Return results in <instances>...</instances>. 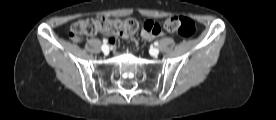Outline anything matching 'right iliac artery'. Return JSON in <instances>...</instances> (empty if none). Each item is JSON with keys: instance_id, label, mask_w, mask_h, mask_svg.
Wrapping results in <instances>:
<instances>
[{"instance_id": "1", "label": "right iliac artery", "mask_w": 276, "mask_h": 120, "mask_svg": "<svg viewBox=\"0 0 276 120\" xmlns=\"http://www.w3.org/2000/svg\"><path fill=\"white\" fill-rule=\"evenodd\" d=\"M108 40L107 39H103V44H107Z\"/></svg>"}]
</instances>
